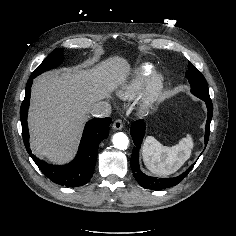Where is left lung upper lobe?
<instances>
[{"label": "left lung upper lobe", "instance_id": "1", "mask_svg": "<svg viewBox=\"0 0 236 236\" xmlns=\"http://www.w3.org/2000/svg\"><path fill=\"white\" fill-rule=\"evenodd\" d=\"M186 78L191 85V92L202 100L210 99L209 89L202 73L195 68L190 62L188 63V71Z\"/></svg>", "mask_w": 236, "mask_h": 236}]
</instances>
